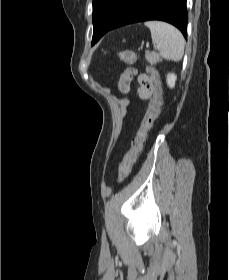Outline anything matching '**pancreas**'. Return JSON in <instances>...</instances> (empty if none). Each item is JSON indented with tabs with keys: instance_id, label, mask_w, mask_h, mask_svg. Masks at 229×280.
Returning <instances> with one entry per match:
<instances>
[{
	"instance_id": "obj_1",
	"label": "pancreas",
	"mask_w": 229,
	"mask_h": 280,
	"mask_svg": "<svg viewBox=\"0 0 229 280\" xmlns=\"http://www.w3.org/2000/svg\"><path fill=\"white\" fill-rule=\"evenodd\" d=\"M145 58L151 65L156 64L157 62L160 61L159 55L155 52L147 51L145 54Z\"/></svg>"
}]
</instances>
